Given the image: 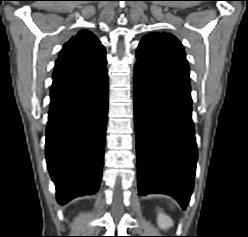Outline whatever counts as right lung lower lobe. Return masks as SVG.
Returning a JSON list of instances; mask_svg holds the SVG:
<instances>
[{
	"label": "right lung lower lobe",
	"instance_id": "98d812e1",
	"mask_svg": "<svg viewBox=\"0 0 248 237\" xmlns=\"http://www.w3.org/2000/svg\"><path fill=\"white\" fill-rule=\"evenodd\" d=\"M46 130V159L57 200L93 195L100 185L108 110L105 66L53 80Z\"/></svg>",
	"mask_w": 248,
	"mask_h": 237
}]
</instances>
